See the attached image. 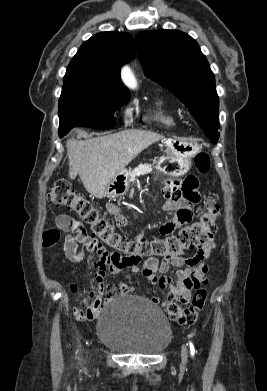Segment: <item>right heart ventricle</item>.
I'll use <instances>...</instances> for the list:
<instances>
[{
	"label": "right heart ventricle",
	"mask_w": 267,
	"mask_h": 391,
	"mask_svg": "<svg viewBox=\"0 0 267 391\" xmlns=\"http://www.w3.org/2000/svg\"><path fill=\"white\" fill-rule=\"evenodd\" d=\"M156 112L154 118L158 121H161L164 124L173 126L176 124V117L173 113L166 110L163 106V103L160 101L156 105Z\"/></svg>",
	"instance_id": "right-heart-ventricle-1"
}]
</instances>
